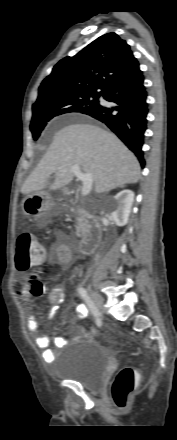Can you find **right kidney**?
Instances as JSON below:
<instances>
[{
  "instance_id": "right-kidney-1",
  "label": "right kidney",
  "mask_w": 177,
  "mask_h": 440,
  "mask_svg": "<svg viewBox=\"0 0 177 440\" xmlns=\"http://www.w3.org/2000/svg\"><path fill=\"white\" fill-rule=\"evenodd\" d=\"M133 201L134 193L129 189H125L114 196L111 217L117 226L127 224Z\"/></svg>"
}]
</instances>
